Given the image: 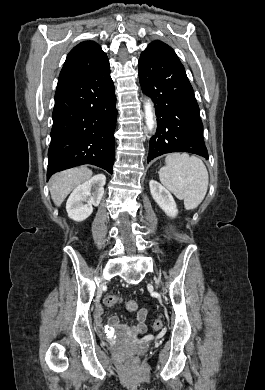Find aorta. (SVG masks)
<instances>
[{"label": "aorta", "instance_id": "obj_1", "mask_svg": "<svg viewBox=\"0 0 265 390\" xmlns=\"http://www.w3.org/2000/svg\"><path fill=\"white\" fill-rule=\"evenodd\" d=\"M145 120L149 131H152L155 126L154 111L150 99H147L144 104Z\"/></svg>", "mask_w": 265, "mask_h": 390}]
</instances>
